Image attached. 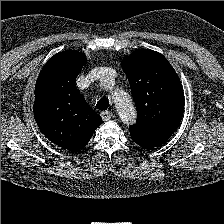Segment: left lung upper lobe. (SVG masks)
<instances>
[{
  "instance_id": "left-lung-upper-lobe-1",
  "label": "left lung upper lobe",
  "mask_w": 224,
  "mask_h": 224,
  "mask_svg": "<svg viewBox=\"0 0 224 224\" xmlns=\"http://www.w3.org/2000/svg\"><path fill=\"white\" fill-rule=\"evenodd\" d=\"M131 87L137 121L129 130L163 144L176 131L184 111L181 82L160 53L138 49L122 61Z\"/></svg>"
}]
</instances>
